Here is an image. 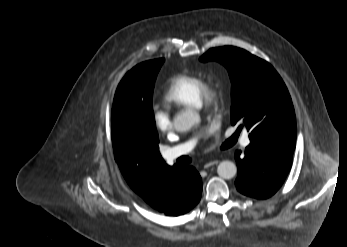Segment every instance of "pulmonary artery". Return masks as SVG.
Returning a JSON list of instances; mask_svg holds the SVG:
<instances>
[{
    "label": "pulmonary artery",
    "mask_w": 347,
    "mask_h": 247,
    "mask_svg": "<svg viewBox=\"0 0 347 247\" xmlns=\"http://www.w3.org/2000/svg\"><path fill=\"white\" fill-rule=\"evenodd\" d=\"M250 138L248 136H244L242 138L241 144L243 147H247L250 144ZM194 147V142L189 141L175 147L169 148L165 152V157L167 160H174L182 155L189 153Z\"/></svg>",
    "instance_id": "pulmonary-artery-1"
}]
</instances>
